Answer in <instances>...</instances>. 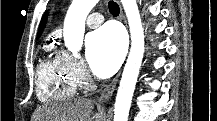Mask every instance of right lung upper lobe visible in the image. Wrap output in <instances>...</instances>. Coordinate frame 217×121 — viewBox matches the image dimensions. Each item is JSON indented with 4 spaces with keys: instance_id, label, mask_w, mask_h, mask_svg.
<instances>
[{
    "instance_id": "1",
    "label": "right lung upper lobe",
    "mask_w": 217,
    "mask_h": 121,
    "mask_svg": "<svg viewBox=\"0 0 217 121\" xmlns=\"http://www.w3.org/2000/svg\"><path fill=\"white\" fill-rule=\"evenodd\" d=\"M45 21H46V15L43 16L42 21H41V23H40L39 31H38V37H39L40 34L42 33V30H43V28H44Z\"/></svg>"
}]
</instances>
